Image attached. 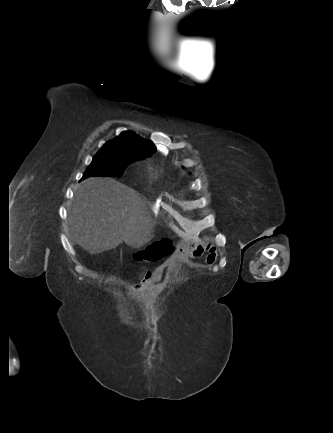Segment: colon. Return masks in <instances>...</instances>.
<instances>
[{
	"instance_id": "5ec220e1",
	"label": "colon",
	"mask_w": 333,
	"mask_h": 433,
	"mask_svg": "<svg viewBox=\"0 0 333 433\" xmlns=\"http://www.w3.org/2000/svg\"><path fill=\"white\" fill-rule=\"evenodd\" d=\"M176 241L171 236H164L163 240H156L155 244H147L146 249H135L133 255L135 258H142L143 263L148 265H159L161 258H170L173 256V250L176 248Z\"/></svg>"
}]
</instances>
